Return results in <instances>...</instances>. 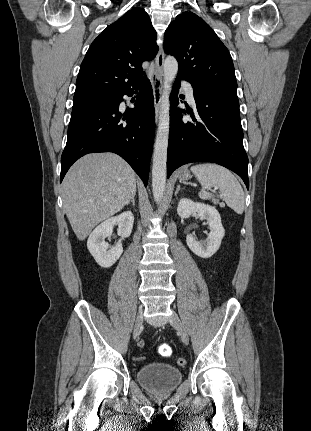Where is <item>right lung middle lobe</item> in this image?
Masks as SVG:
<instances>
[{"label":"right lung middle lobe","mask_w":311,"mask_h":431,"mask_svg":"<svg viewBox=\"0 0 311 431\" xmlns=\"http://www.w3.org/2000/svg\"><path fill=\"white\" fill-rule=\"evenodd\" d=\"M103 95H106V94H103ZM95 96H101V95L84 96V97H77V98L74 97V101L84 99V98H89V97H95Z\"/></svg>","instance_id":"obj_1"}]
</instances>
